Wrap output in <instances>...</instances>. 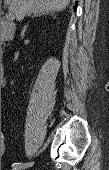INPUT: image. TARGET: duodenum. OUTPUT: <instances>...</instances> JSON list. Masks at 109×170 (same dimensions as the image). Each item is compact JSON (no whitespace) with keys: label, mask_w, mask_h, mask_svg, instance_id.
Listing matches in <instances>:
<instances>
[{"label":"duodenum","mask_w":109,"mask_h":170,"mask_svg":"<svg viewBox=\"0 0 109 170\" xmlns=\"http://www.w3.org/2000/svg\"><path fill=\"white\" fill-rule=\"evenodd\" d=\"M5 26H7V29H9V28H10V26H9L8 24H5Z\"/></svg>","instance_id":"1"}]
</instances>
